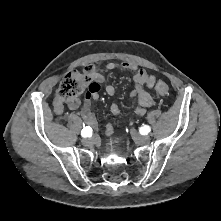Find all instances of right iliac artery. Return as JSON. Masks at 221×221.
<instances>
[{
	"instance_id": "right-iliac-artery-1",
	"label": "right iliac artery",
	"mask_w": 221,
	"mask_h": 221,
	"mask_svg": "<svg viewBox=\"0 0 221 221\" xmlns=\"http://www.w3.org/2000/svg\"><path fill=\"white\" fill-rule=\"evenodd\" d=\"M92 135V128L90 126H86L83 128L81 131V136L82 137H90Z\"/></svg>"
}]
</instances>
